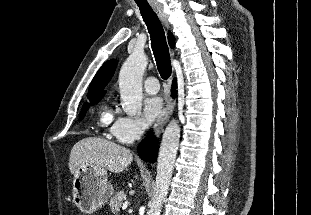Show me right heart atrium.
I'll return each instance as SVG.
<instances>
[{
    "instance_id": "d8ad5b80",
    "label": "right heart atrium",
    "mask_w": 311,
    "mask_h": 215,
    "mask_svg": "<svg viewBox=\"0 0 311 215\" xmlns=\"http://www.w3.org/2000/svg\"><path fill=\"white\" fill-rule=\"evenodd\" d=\"M144 132L140 121L131 116H119L110 125V134L122 144H132Z\"/></svg>"
}]
</instances>
